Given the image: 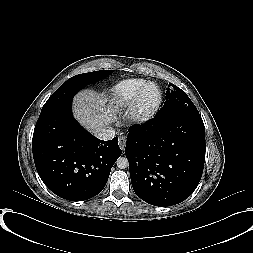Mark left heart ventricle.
<instances>
[{
    "mask_svg": "<svg viewBox=\"0 0 253 253\" xmlns=\"http://www.w3.org/2000/svg\"><path fill=\"white\" fill-rule=\"evenodd\" d=\"M159 99V92L156 87L150 86L146 89L143 96V104L146 108L152 107Z\"/></svg>",
    "mask_w": 253,
    "mask_h": 253,
    "instance_id": "b2bd125f",
    "label": "left heart ventricle"
}]
</instances>
